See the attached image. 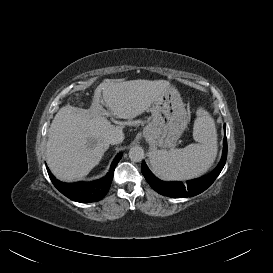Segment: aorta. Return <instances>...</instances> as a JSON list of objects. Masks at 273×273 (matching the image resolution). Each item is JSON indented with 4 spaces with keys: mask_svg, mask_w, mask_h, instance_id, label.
<instances>
[{
    "mask_svg": "<svg viewBox=\"0 0 273 273\" xmlns=\"http://www.w3.org/2000/svg\"><path fill=\"white\" fill-rule=\"evenodd\" d=\"M144 149L141 146H133L129 150V158L133 162H140L144 158Z\"/></svg>",
    "mask_w": 273,
    "mask_h": 273,
    "instance_id": "obj_1",
    "label": "aorta"
}]
</instances>
